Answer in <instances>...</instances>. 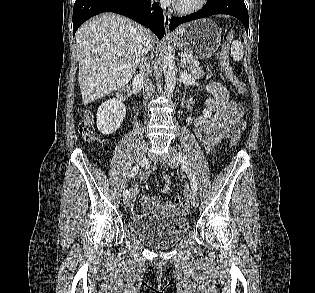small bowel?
Segmentation results:
<instances>
[{
    "instance_id": "small-bowel-1",
    "label": "small bowel",
    "mask_w": 315,
    "mask_h": 293,
    "mask_svg": "<svg viewBox=\"0 0 315 293\" xmlns=\"http://www.w3.org/2000/svg\"><path fill=\"white\" fill-rule=\"evenodd\" d=\"M205 90L211 94L206 100V106L212 111L210 118L190 117L189 121L194 126V134L201 141L207 151H211L223 139L233 136L238 131H243L245 122L243 120L242 107L229 99L226 88L220 83H210ZM147 174V173H146ZM165 186L163 194L170 191V180L164 176ZM140 203L144 212H152L160 208H171L172 203L168 200L160 201L157 197L142 196Z\"/></svg>"
}]
</instances>
